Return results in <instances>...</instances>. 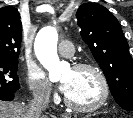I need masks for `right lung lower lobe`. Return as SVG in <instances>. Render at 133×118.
I'll list each match as a JSON object with an SVG mask.
<instances>
[{"label":"right lung lower lobe","instance_id":"1","mask_svg":"<svg viewBox=\"0 0 133 118\" xmlns=\"http://www.w3.org/2000/svg\"><path fill=\"white\" fill-rule=\"evenodd\" d=\"M14 98V92L8 94H0V100L12 101Z\"/></svg>","mask_w":133,"mask_h":118}]
</instances>
